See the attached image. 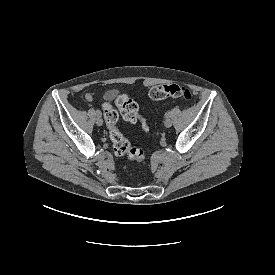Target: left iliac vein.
<instances>
[{"mask_svg":"<svg viewBox=\"0 0 275 275\" xmlns=\"http://www.w3.org/2000/svg\"><path fill=\"white\" fill-rule=\"evenodd\" d=\"M164 125L165 127L169 128L172 126V120L167 118L165 121H164Z\"/></svg>","mask_w":275,"mask_h":275,"instance_id":"obj_1","label":"left iliac vein"}]
</instances>
